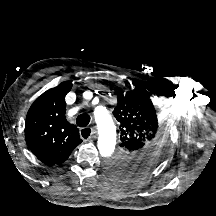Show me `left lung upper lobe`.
I'll return each mask as SVG.
<instances>
[{
    "label": "left lung upper lobe",
    "instance_id": "obj_1",
    "mask_svg": "<svg viewBox=\"0 0 216 216\" xmlns=\"http://www.w3.org/2000/svg\"><path fill=\"white\" fill-rule=\"evenodd\" d=\"M114 116L119 122L120 148L106 162L112 178L131 181L151 171L163 158L168 142L163 115L154 108L150 93H119Z\"/></svg>",
    "mask_w": 216,
    "mask_h": 216
}]
</instances>
